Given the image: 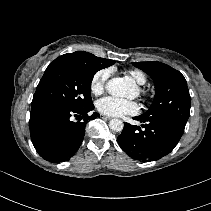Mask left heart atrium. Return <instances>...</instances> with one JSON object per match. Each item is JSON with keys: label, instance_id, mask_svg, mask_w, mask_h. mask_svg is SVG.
I'll list each match as a JSON object with an SVG mask.
<instances>
[{"label": "left heart atrium", "instance_id": "1", "mask_svg": "<svg viewBox=\"0 0 211 211\" xmlns=\"http://www.w3.org/2000/svg\"><path fill=\"white\" fill-rule=\"evenodd\" d=\"M96 107L99 112L109 116L136 114L139 110L137 102L114 96L99 99L96 103Z\"/></svg>", "mask_w": 211, "mask_h": 211}]
</instances>
